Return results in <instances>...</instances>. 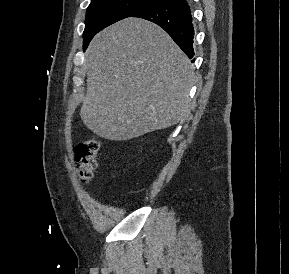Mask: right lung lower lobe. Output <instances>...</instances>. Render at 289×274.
I'll return each mask as SVG.
<instances>
[{"label":"right lung lower lobe","mask_w":289,"mask_h":274,"mask_svg":"<svg viewBox=\"0 0 289 274\" xmlns=\"http://www.w3.org/2000/svg\"><path fill=\"white\" fill-rule=\"evenodd\" d=\"M131 17L149 20L161 26L191 59L194 55V28L186 0H162Z\"/></svg>","instance_id":"right-lung-lower-lobe-1"}]
</instances>
